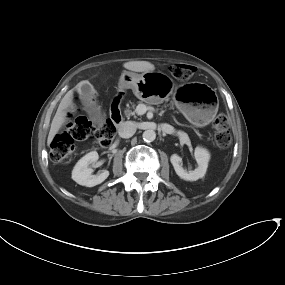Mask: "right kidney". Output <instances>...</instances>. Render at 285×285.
<instances>
[{
  "mask_svg": "<svg viewBox=\"0 0 285 285\" xmlns=\"http://www.w3.org/2000/svg\"><path fill=\"white\" fill-rule=\"evenodd\" d=\"M99 156L96 151L89 152L83 156L75 165L72 171V179L79 185L93 187L101 184L109 176V171L104 170L102 173L92 175L93 169L90 164L96 162Z\"/></svg>",
  "mask_w": 285,
  "mask_h": 285,
  "instance_id": "ca27d5eb",
  "label": "right kidney"
}]
</instances>
